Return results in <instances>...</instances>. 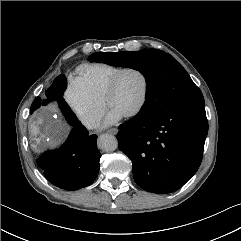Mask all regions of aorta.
<instances>
[{
  "label": "aorta",
  "instance_id": "obj_1",
  "mask_svg": "<svg viewBox=\"0 0 241 241\" xmlns=\"http://www.w3.org/2000/svg\"><path fill=\"white\" fill-rule=\"evenodd\" d=\"M98 146L103 151H114L118 147V141L113 135L102 134L98 139Z\"/></svg>",
  "mask_w": 241,
  "mask_h": 241
}]
</instances>
